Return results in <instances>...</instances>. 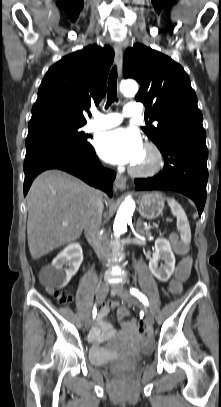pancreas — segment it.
Instances as JSON below:
<instances>
[{
	"mask_svg": "<svg viewBox=\"0 0 221 407\" xmlns=\"http://www.w3.org/2000/svg\"><path fill=\"white\" fill-rule=\"evenodd\" d=\"M147 236H150L151 235V233L149 232V230H146V233H145Z\"/></svg>",
	"mask_w": 221,
	"mask_h": 407,
	"instance_id": "1",
	"label": "pancreas"
}]
</instances>
